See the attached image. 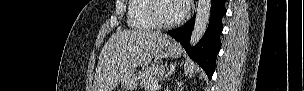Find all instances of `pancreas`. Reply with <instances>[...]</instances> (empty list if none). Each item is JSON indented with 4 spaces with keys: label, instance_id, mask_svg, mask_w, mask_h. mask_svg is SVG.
Returning a JSON list of instances; mask_svg holds the SVG:
<instances>
[{
    "label": "pancreas",
    "instance_id": "pancreas-1",
    "mask_svg": "<svg viewBox=\"0 0 304 91\" xmlns=\"http://www.w3.org/2000/svg\"><path fill=\"white\" fill-rule=\"evenodd\" d=\"M165 74V68L163 66H152L146 68L139 75L140 86L146 91H150L151 86L157 84L158 80Z\"/></svg>",
    "mask_w": 304,
    "mask_h": 91
}]
</instances>
